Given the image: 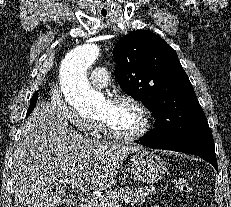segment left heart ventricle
Instances as JSON below:
<instances>
[{"label": "left heart ventricle", "mask_w": 231, "mask_h": 207, "mask_svg": "<svg viewBox=\"0 0 231 207\" xmlns=\"http://www.w3.org/2000/svg\"><path fill=\"white\" fill-rule=\"evenodd\" d=\"M97 118L106 121L114 131L122 134H133L143 125L141 112L129 103L110 104L104 101Z\"/></svg>", "instance_id": "1"}]
</instances>
